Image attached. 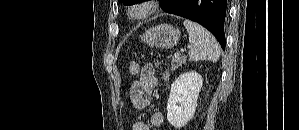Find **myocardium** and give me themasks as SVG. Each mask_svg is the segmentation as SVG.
Wrapping results in <instances>:
<instances>
[{
  "instance_id": "f54148a6",
  "label": "myocardium",
  "mask_w": 299,
  "mask_h": 130,
  "mask_svg": "<svg viewBox=\"0 0 299 130\" xmlns=\"http://www.w3.org/2000/svg\"><path fill=\"white\" fill-rule=\"evenodd\" d=\"M158 1H136L126 8V16L131 21H140L153 15L157 11Z\"/></svg>"
}]
</instances>
